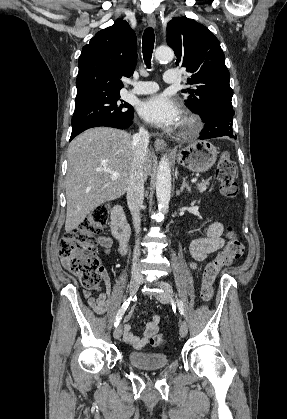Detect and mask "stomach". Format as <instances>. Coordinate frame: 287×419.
<instances>
[{"label": "stomach", "instance_id": "1", "mask_svg": "<svg viewBox=\"0 0 287 419\" xmlns=\"http://www.w3.org/2000/svg\"><path fill=\"white\" fill-rule=\"evenodd\" d=\"M217 149L209 141H194L182 148L177 155V162L193 172H206L216 162Z\"/></svg>", "mask_w": 287, "mask_h": 419}]
</instances>
